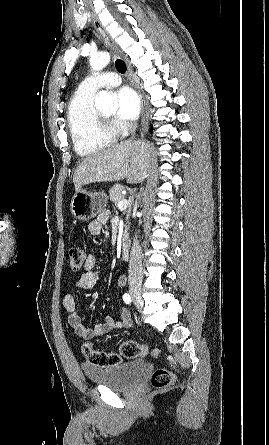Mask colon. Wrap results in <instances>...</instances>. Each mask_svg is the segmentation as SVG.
<instances>
[{"mask_svg":"<svg viewBox=\"0 0 269 445\" xmlns=\"http://www.w3.org/2000/svg\"><path fill=\"white\" fill-rule=\"evenodd\" d=\"M69 264L72 270H80L85 262V254L78 247H72L68 252ZM88 363L98 367H112L122 362L123 358L134 359L147 354V347L133 340H126L120 343L119 353L98 351L89 344H83L81 347ZM153 354L156 356L159 351L155 349ZM174 381V375L171 371L158 368L150 378L151 385L154 388H165L170 386Z\"/></svg>","mask_w":269,"mask_h":445,"instance_id":"obj_1","label":"colon"}]
</instances>
